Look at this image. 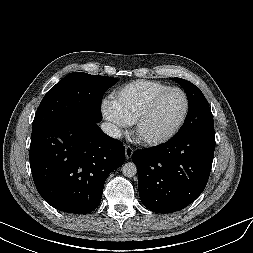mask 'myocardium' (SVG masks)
I'll return each instance as SVG.
<instances>
[{
    "instance_id": "obj_1",
    "label": "myocardium",
    "mask_w": 253,
    "mask_h": 253,
    "mask_svg": "<svg viewBox=\"0 0 253 253\" xmlns=\"http://www.w3.org/2000/svg\"><path fill=\"white\" fill-rule=\"evenodd\" d=\"M173 91L180 92L182 94L183 98H184V103H185L184 111L182 113V116H181L180 120L176 124V126L171 131H169L168 133H166L162 136L148 137V138L141 137L140 134H139L140 128H141L142 124L144 123V121L146 120V118L152 112V110L155 107V105L157 104V102L164 95H166L169 92H173ZM189 109H190V102H189V98H188L186 92L183 89L179 88V87H168V88L156 93L147 102V104L145 105V107L140 112V114L138 115L137 119L134 122V134L137 137V139L145 145L157 146V145L164 144V143L170 141L171 139H173L180 132V130L182 129V127L185 124V121L187 119Z\"/></svg>"
}]
</instances>
